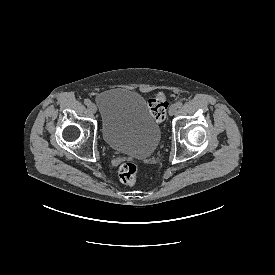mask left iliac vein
<instances>
[{"label": "left iliac vein", "instance_id": "1", "mask_svg": "<svg viewBox=\"0 0 275 275\" xmlns=\"http://www.w3.org/2000/svg\"><path fill=\"white\" fill-rule=\"evenodd\" d=\"M176 111H177V106H176V104H172V105L170 106V108H169V115H170V116H173V115L176 113Z\"/></svg>", "mask_w": 275, "mask_h": 275}]
</instances>
